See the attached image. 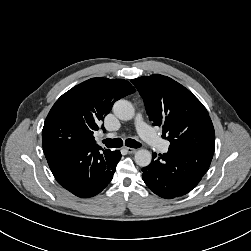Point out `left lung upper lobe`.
<instances>
[{"label":"left lung upper lobe","mask_w":251,"mask_h":251,"mask_svg":"<svg viewBox=\"0 0 251 251\" xmlns=\"http://www.w3.org/2000/svg\"><path fill=\"white\" fill-rule=\"evenodd\" d=\"M154 126L163 128L169 149L214 153L215 132L203 104L173 79L154 74L131 80Z\"/></svg>","instance_id":"obj_1"}]
</instances>
